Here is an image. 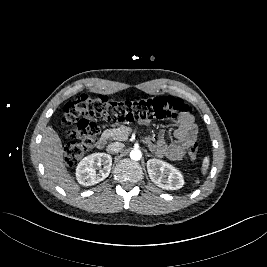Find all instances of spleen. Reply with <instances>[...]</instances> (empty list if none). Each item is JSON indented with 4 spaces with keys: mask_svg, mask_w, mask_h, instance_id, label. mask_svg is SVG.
Masks as SVG:
<instances>
[{
    "mask_svg": "<svg viewBox=\"0 0 267 267\" xmlns=\"http://www.w3.org/2000/svg\"><path fill=\"white\" fill-rule=\"evenodd\" d=\"M208 166H209V157L206 156L203 160V163H202V169H203V173L206 172V170L208 169ZM196 183H199V180L196 181Z\"/></svg>",
    "mask_w": 267,
    "mask_h": 267,
    "instance_id": "1",
    "label": "spleen"
}]
</instances>
